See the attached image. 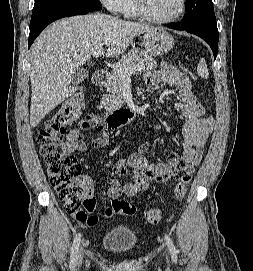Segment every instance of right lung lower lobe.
Wrapping results in <instances>:
<instances>
[{"mask_svg":"<svg viewBox=\"0 0 253 271\" xmlns=\"http://www.w3.org/2000/svg\"><path fill=\"white\" fill-rule=\"evenodd\" d=\"M90 12H92V11L87 10V9H83V8H70V9H63V10L51 12V13L41 17L36 22H34L32 25H30L28 48H30V46L32 45V43L34 42L36 37L51 22L58 20L60 18L75 16V15H82V14H87Z\"/></svg>","mask_w":253,"mask_h":271,"instance_id":"98d812e1","label":"right lung lower lobe"}]
</instances>
